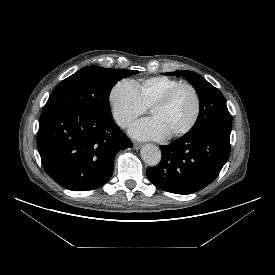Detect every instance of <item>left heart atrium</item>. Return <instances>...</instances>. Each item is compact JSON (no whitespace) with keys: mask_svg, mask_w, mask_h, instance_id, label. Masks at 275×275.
<instances>
[{"mask_svg":"<svg viewBox=\"0 0 275 275\" xmlns=\"http://www.w3.org/2000/svg\"><path fill=\"white\" fill-rule=\"evenodd\" d=\"M129 133L139 140H162L168 137L160 122L153 117L134 123Z\"/></svg>","mask_w":275,"mask_h":275,"instance_id":"1","label":"left heart atrium"}]
</instances>
